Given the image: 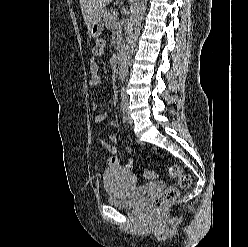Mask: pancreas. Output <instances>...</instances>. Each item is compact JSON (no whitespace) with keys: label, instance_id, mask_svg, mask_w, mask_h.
<instances>
[{"label":"pancreas","instance_id":"obj_1","mask_svg":"<svg viewBox=\"0 0 248 247\" xmlns=\"http://www.w3.org/2000/svg\"><path fill=\"white\" fill-rule=\"evenodd\" d=\"M117 10L112 9L105 13L104 21L107 29H114L116 26Z\"/></svg>","mask_w":248,"mask_h":247}]
</instances>
